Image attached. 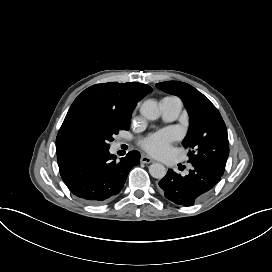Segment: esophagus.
Masks as SVG:
<instances>
[{
  "mask_svg": "<svg viewBox=\"0 0 272 272\" xmlns=\"http://www.w3.org/2000/svg\"><path fill=\"white\" fill-rule=\"evenodd\" d=\"M141 163H152L153 159H151L149 156L142 155L140 159Z\"/></svg>",
  "mask_w": 272,
  "mask_h": 272,
  "instance_id": "obj_1",
  "label": "esophagus"
}]
</instances>
